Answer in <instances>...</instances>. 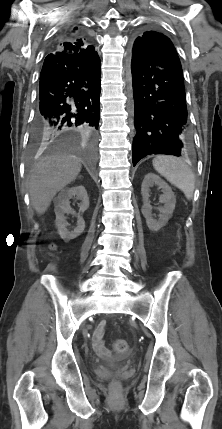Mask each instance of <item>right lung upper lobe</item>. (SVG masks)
<instances>
[{"label":"right lung upper lobe","mask_w":222,"mask_h":429,"mask_svg":"<svg viewBox=\"0 0 222 429\" xmlns=\"http://www.w3.org/2000/svg\"><path fill=\"white\" fill-rule=\"evenodd\" d=\"M55 51H66L73 53L77 58L89 57L95 54L94 47L87 45L84 38L74 33L63 34L55 43Z\"/></svg>","instance_id":"cb5924a9"}]
</instances>
